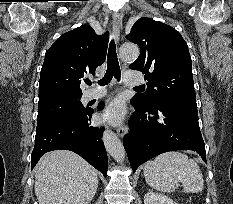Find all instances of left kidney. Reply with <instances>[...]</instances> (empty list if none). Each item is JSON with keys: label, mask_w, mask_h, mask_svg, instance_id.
I'll list each match as a JSON object with an SVG mask.
<instances>
[{"label": "left kidney", "mask_w": 233, "mask_h": 204, "mask_svg": "<svg viewBox=\"0 0 233 204\" xmlns=\"http://www.w3.org/2000/svg\"><path fill=\"white\" fill-rule=\"evenodd\" d=\"M144 204H177L166 195L149 191L144 196Z\"/></svg>", "instance_id": "left-kidney-1"}]
</instances>
